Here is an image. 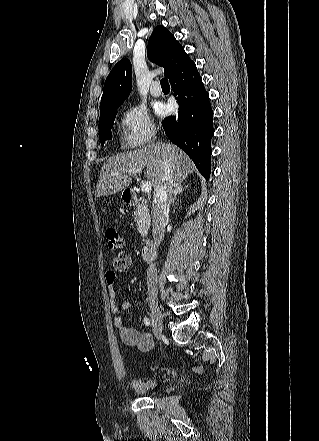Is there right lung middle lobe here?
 <instances>
[{
  "label": "right lung middle lobe",
  "instance_id": "dd1d6c3e",
  "mask_svg": "<svg viewBox=\"0 0 319 441\" xmlns=\"http://www.w3.org/2000/svg\"><path fill=\"white\" fill-rule=\"evenodd\" d=\"M119 106L108 107L100 110L99 139L101 145H103L106 140L112 139V134L110 131L117 114V108Z\"/></svg>",
  "mask_w": 319,
  "mask_h": 441
}]
</instances>
